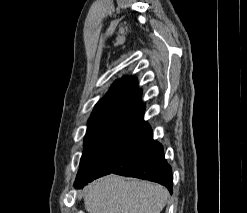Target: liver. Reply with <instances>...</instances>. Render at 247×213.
I'll return each instance as SVG.
<instances>
[{"label": "liver", "instance_id": "liver-1", "mask_svg": "<svg viewBox=\"0 0 247 213\" xmlns=\"http://www.w3.org/2000/svg\"><path fill=\"white\" fill-rule=\"evenodd\" d=\"M168 196L161 185L112 174L86 188L84 206L88 213H160Z\"/></svg>", "mask_w": 247, "mask_h": 213}]
</instances>
